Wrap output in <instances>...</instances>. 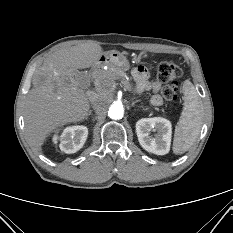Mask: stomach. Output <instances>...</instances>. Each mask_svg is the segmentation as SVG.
<instances>
[{
	"label": "stomach",
	"instance_id": "stomach-1",
	"mask_svg": "<svg viewBox=\"0 0 233 233\" xmlns=\"http://www.w3.org/2000/svg\"><path fill=\"white\" fill-rule=\"evenodd\" d=\"M99 61L103 65H108L111 68H117L122 71L129 69V62L126 55L119 51H108L101 54Z\"/></svg>",
	"mask_w": 233,
	"mask_h": 233
}]
</instances>
